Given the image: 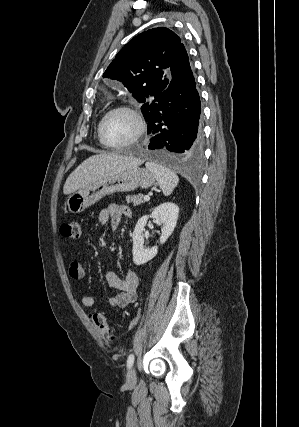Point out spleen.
Returning <instances> with one entry per match:
<instances>
[{"label":"spleen","mask_w":299,"mask_h":427,"mask_svg":"<svg viewBox=\"0 0 299 427\" xmlns=\"http://www.w3.org/2000/svg\"><path fill=\"white\" fill-rule=\"evenodd\" d=\"M146 168L154 175L165 196H169L178 185L179 177L175 172L152 161L145 163Z\"/></svg>","instance_id":"spleen-1"}]
</instances>
